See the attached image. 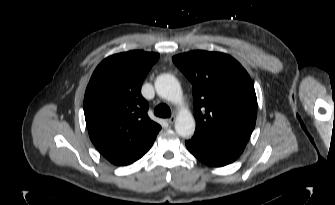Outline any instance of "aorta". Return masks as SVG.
<instances>
[{
  "instance_id": "aorta-1",
  "label": "aorta",
  "mask_w": 335,
  "mask_h": 205,
  "mask_svg": "<svg viewBox=\"0 0 335 205\" xmlns=\"http://www.w3.org/2000/svg\"><path fill=\"white\" fill-rule=\"evenodd\" d=\"M155 90L157 94L173 103H181L182 89L179 81L170 74H162L155 81ZM175 130L177 134L184 138H190L195 131V120L192 114L187 110H181L175 121Z\"/></svg>"
}]
</instances>
